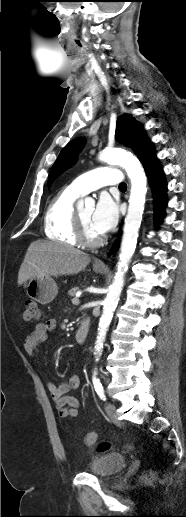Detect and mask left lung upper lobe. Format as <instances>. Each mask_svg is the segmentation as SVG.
Instances as JSON below:
<instances>
[{"label":"left lung upper lobe","instance_id":"left-lung-upper-lobe-1","mask_svg":"<svg viewBox=\"0 0 186 517\" xmlns=\"http://www.w3.org/2000/svg\"><path fill=\"white\" fill-rule=\"evenodd\" d=\"M115 137L124 146L131 147L138 158L148 150L149 143L144 136L142 126L129 115L118 118ZM82 145L83 140L75 139L60 152L49 173V186L66 167L71 165Z\"/></svg>","mask_w":186,"mask_h":517}]
</instances>
